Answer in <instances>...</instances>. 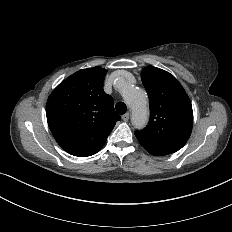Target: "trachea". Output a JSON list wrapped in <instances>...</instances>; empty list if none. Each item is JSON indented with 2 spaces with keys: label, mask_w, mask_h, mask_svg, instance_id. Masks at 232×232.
<instances>
[{
  "label": "trachea",
  "mask_w": 232,
  "mask_h": 232,
  "mask_svg": "<svg viewBox=\"0 0 232 232\" xmlns=\"http://www.w3.org/2000/svg\"><path fill=\"white\" fill-rule=\"evenodd\" d=\"M115 108L119 114H125L127 110L126 104L124 102H117Z\"/></svg>",
  "instance_id": "1"
}]
</instances>
